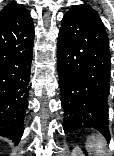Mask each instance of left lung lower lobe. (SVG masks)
Returning a JSON list of instances; mask_svg holds the SVG:
<instances>
[{"instance_id": "obj_1", "label": "left lung lower lobe", "mask_w": 114, "mask_h": 156, "mask_svg": "<svg viewBox=\"0 0 114 156\" xmlns=\"http://www.w3.org/2000/svg\"><path fill=\"white\" fill-rule=\"evenodd\" d=\"M57 69L64 132L91 127L109 140V40L100 17L88 5L72 7L62 19Z\"/></svg>"}]
</instances>
